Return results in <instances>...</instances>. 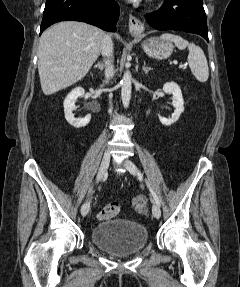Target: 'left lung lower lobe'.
I'll return each mask as SVG.
<instances>
[{
    "instance_id": "0a47b994",
    "label": "left lung lower lobe",
    "mask_w": 240,
    "mask_h": 287,
    "mask_svg": "<svg viewBox=\"0 0 240 287\" xmlns=\"http://www.w3.org/2000/svg\"><path fill=\"white\" fill-rule=\"evenodd\" d=\"M145 18L157 30H181L199 34L208 42L207 19L202 0H165L156 12Z\"/></svg>"
}]
</instances>
